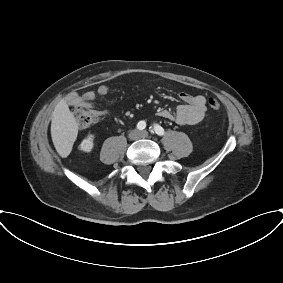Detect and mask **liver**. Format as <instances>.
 <instances>
[{
    "mask_svg": "<svg viewBox=\"0 0 283 283\" xmlns=\"http://www.w3.org/2000/svg\"><path fill=\"white\" fill-rule=\"evenodd\" d=\"M78 135V124L68 104L61 100L52 112L51 137L56 151L67 157Z\"/></svg>",
    "mask_w": 283,
    "mask_h": 283,
    "instance_id": "liver-1",
    "label": "liver"
}]
</instances>
